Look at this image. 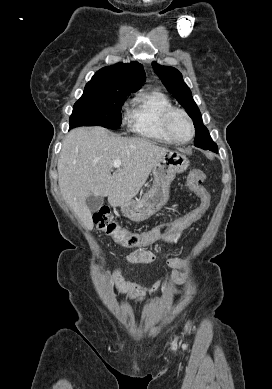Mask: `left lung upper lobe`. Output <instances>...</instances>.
Returning a JSON list of instances; mask_svg holds the SVG:
<instances>
[{
    "label": "left lung upper lobe",
    "instance_id": "1",
    "mask_svg": "<svg viewBox=\"0 0 272 389\" xmlns=\"http://www.w3.org/2000/svg\"><path fill=\"white\" fill-rule=\"evenodd\" d=\"M152 67L167 90L174 95L192 118L196 131L195 146L215 152L217 145L212 141L208 129L203 125L201 113L193 100L189 87L183 81L182 74L173 67L161 66L155 61L152 63Z\"/></svg>",
    "mask_w": 272,
    "mask_h": 389
}]
</instances>
